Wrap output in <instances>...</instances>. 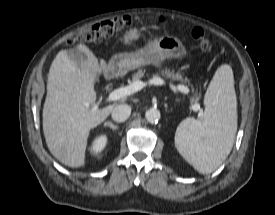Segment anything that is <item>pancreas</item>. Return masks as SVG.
<instances>
[{
    "mask_svg": "<svg viewBox=\"0 0 275 215\" xmlns=\"http://www.w3.org/2000/svg\"><path fill=\"white\" fill-rule=\"evenodd\" d=\"M145 72H146L145 70L139 69L137 73L133 74L132 81L133 82L140 81V79L144 77ZM159 72L166 79H171L173 81H180L181 83H186L188 81L186 78H183L180 72H175L174 70L165 68V69L159 70ZM156 75H158V73ZM197 101H198V97H193L191 99V103L197 104Z\"/></svg>",
    "mask_w": 275,
    "mask_h": 215,
    "instance_id": "cf45deb5",
    "label": "pancreas"
}]
</instances>
